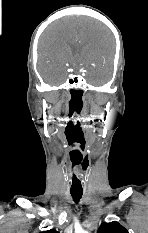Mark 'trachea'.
I'll return each instance as SVG.
<instances>
[{"label":"trachea","instance_id":"obj_1","mask_svg":"<svg viewBox=\"0 0 148 233\" xmlns=\"http://www.w3.org/2000/svg\"><path fill=\"white\" fill-rule=\"evenodd\" d=\"M74 202L78 203L82 197L83 191H70Z\"/></svg>","mask_w":148,"mask_h":233}]
</instances>
